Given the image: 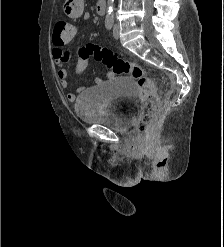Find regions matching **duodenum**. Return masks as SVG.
<instances>
[{"label":"duodenum","mask_w":224,"mask_h":247,"mask_svg":"<svg viewBox=\"0 0 224 247\" xmlns=\"http://www.w3.org/2000/svg\"><path fill=\"white\" fill-rule=\"evenodd\" d=\"M107 0H98L96 5V11L99 15H104L106 12Z\"/></svg>","instance_id":"410a0bca"}]
</instances>
